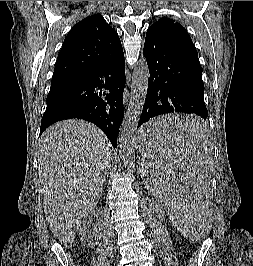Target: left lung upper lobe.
I'll list each match as a JSON object with an SVG mask.
<instances>
[{"label": "left lung upper lobe", "mask_w": 253, "mask_h": 266, "mask_svg": "<svg viewBox=\"0 0 253 266\" xmlns=\"http://www.w3.org/2000/svg\"><path fill=\"white\" fill-rule=\"evenodd\" d=\"M155 30H160L165 33H169L175 36H181V37L191 40L189 34L184 29V27L181 24L169 18L159 19L157 22H155L152 26L149 27L147 32L155 31Z\"/></svg>", "instance_id": "obj_1"}]
</instances>
